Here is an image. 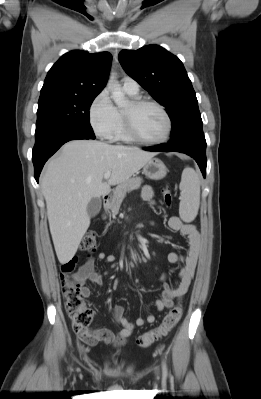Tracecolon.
I'll return each mask as SVG.
<instances>
[{"label": "colon", "instance_id": "5ec220e1", "mask_svg": "<svg viewBox=\"0 0 261 399\" xmlns=\"http://www.w3.org/2000/svg\"><path fill=\"white\" fill-rule=\"evenodd\" d=\"M163 202L166 206H171L173 202L172 193L169 188L162 190ZM97 245V235L88 232L81 240V249L86 252H93ZM76 262L69 261L61 268V287L65 300L66 312L72 322L74 332L82 339L89 338V326L93 319V309L84 302L80 288L71 280V274L75 270ZM182 316L180 305L173 307L164 317L162 323L155 329L140 335L137 345L141 348L150 347L157 340L167 336L176 326Z\"/></svg>", "mask_w": 261, "mask_h": 399}]
</instances>
